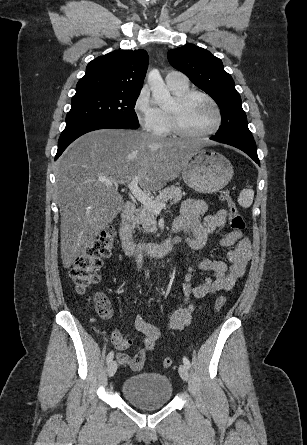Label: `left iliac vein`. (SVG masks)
<instances>
[{"label": "left iliac vein", "instance_id": "4c4485c4", "mask_svg": "<svg viewBox=\"0 0 307 445\" xmlns=\"http://www.w3.org/2000/svg\"><path fill=\"white\" fill-rule=\"evenodd\" d=\"M179 374L184 381L188 380L189 372H188V368L185 365L181 364L179 366Z\"/></svg>", "mask_w": 307, "mask_h": 445}]
</instances>
